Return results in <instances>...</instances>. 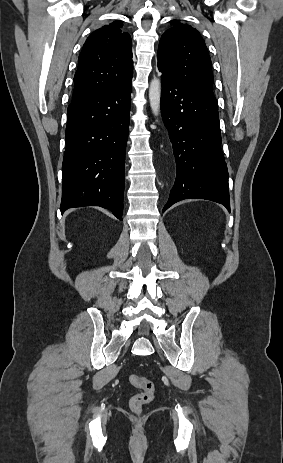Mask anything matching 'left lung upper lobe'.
<instances>
[{"instance_id": "5c2ea615", "label": "left lung upper lobe", "mask_w": 283, "mask_h": 463, "mask_svg": "<svg viewBox=\"0 0 283 463\" xmlns=\"http://www.w3.org/2000/svg\"><path fill=\"white\" fill-rule=\"evenodd\" d=\"M162 35L158 66L197 94L217 102L213 95V73L207 47L199 32L177 20Z\"/></svg>"}]
</instances>
